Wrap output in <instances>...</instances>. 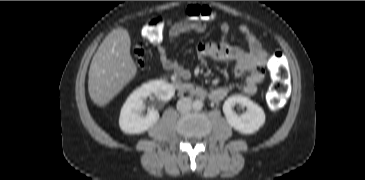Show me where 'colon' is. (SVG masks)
<instances>
[{
    "instance_id": "5ec220e1",
    "label": "colon",
    "mask_w": 365,
    "mask_h": 180,
    "mask_svg": "<svg viewBox=\"0 0 365 180\" xmlns=\"http://www.w3.org/2000/svg\"><path fill=\"white\" fill-rule=\"evenodd\" d=\"M186 15L192 19L211 21L214 13L205 6L190 5L186 9ZM165 28V20L161 16L149 18L142 28V36L150 43L157 44L162 41ZM135 62L138 66H143L145 62V51L141 44H136L133 50ZM272 74V84L267 92L266 100L270 109L277 111L281 109L286 102V94L289 90L288 69L286 59L282 53H276L272 56L269 63Z\"/></svg>"
}]
</instances>
